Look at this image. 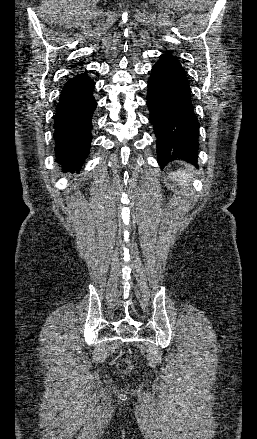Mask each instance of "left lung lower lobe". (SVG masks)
Instances as JSON below:
<instances>
[{
	"instance_id": "left-lung-lower-lobe-1",
	"label": "left lung lower lobe",
	"mask_w": 257,
	"mask_h": 439,
	"mask_svg": "<svg viewBox=\"0 0 257 439\" xmlns=\"http://www.w3.org/2000/svg\"><path fill=\"white\" fill-rule=\"evenodd\" d=\"M149 121L156 136L158 163L173 160L197 165L199 122L186 71L171 53L160 56L148 80Z\"/></svg>"
}]
</instances>
